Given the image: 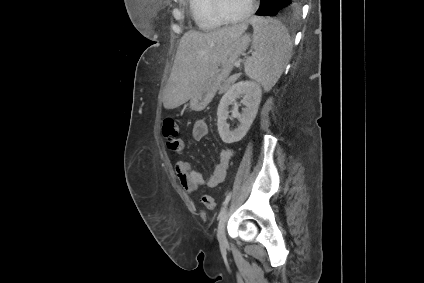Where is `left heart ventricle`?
Here are the masks:
<instances>
[{"mask_svg":"<svg viewBox=\"0 0 424 283\" xmlns=\"http://www.w3.org/2000/svg\"><path fill=\"white\" fill-rule=\"evenodd\" d=\"M224 13L230 17L242 15L249 8L250 0H221Z\"/></svg>","mask_w":424,"mask_h":283,"instance_id":"b2bd125f","label":"left heart ventricle"}]
</instances>
